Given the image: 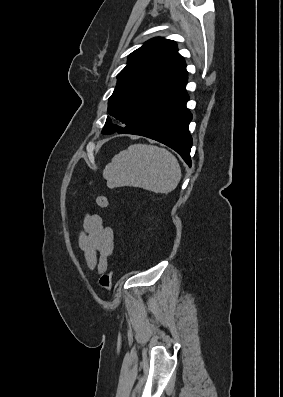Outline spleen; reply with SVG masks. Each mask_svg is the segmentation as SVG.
Returning a JSON list of instances; mask_svg holds the SVG:
<instances>
[{
	"instance_id": "3e777b00",
	"label": "spleen",
	"mask_w": 283,
	"mask_h": 397,
	"mask_svg": "<svg viewBox=\"0 0 283 397\" xmlns=\"http://www.w3.org/2000/svg\"><path fill=\"white\" fill-rule=\"evenodd\" d=\"M103 176L110 188L130 186L167 194L177 187L182 174L177 158L167 149L133 144L112 158Z\"/></svg>"
}]
</instances>
